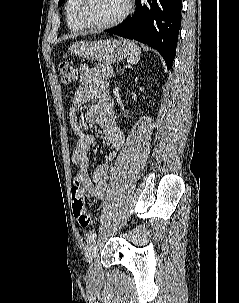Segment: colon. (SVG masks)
Here are the masks:
<instances>
[{
	"instance_id": "5ec220e1",
	"label": "colon",
	"mask_w": 239,
	"mask_h": 303,
	"mask_svg": "<svg viewBox=\"0 0 239 303\" xmlns=\"http://www.w3.org/2000/svg\"><path fill=\"white\" fill-rule=\"evenodd\" d=\"M61 80L65 85H71L76 82L78 72L75 66L68 61H63L59 65ZM72 209L75 219L81 227L87 228L92 226L93 219L85 208L83 193L78 188H72Z\"/></svg>"
}]
</instances>
